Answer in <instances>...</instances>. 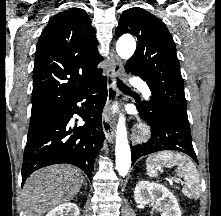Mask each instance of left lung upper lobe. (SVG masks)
<instances>
[{"label":"left lung upper lobe","mask_w":221,"mask_h":216,"mask_svg":"<svg viewBox=\"0 0 221 216\" xmlns=\"http://www.w3.org/2000/svg\"><path fill=\"white\" fill-rule=\"evenodd\" d=\"M125 33L138 40L125 70L140 76L152 92L150 100L142 106L163 111L189 124L176 46L166 25L142 8H129L122 13L116 28L118 37Z\"/></svg>","instance_id":"5c2ea615"}]
</instances>
